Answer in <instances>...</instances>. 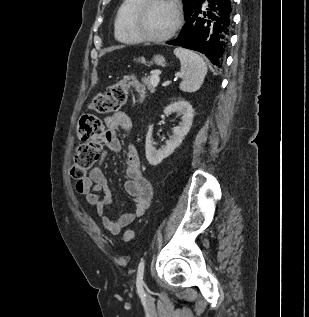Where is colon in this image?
<instances>
[{"label": "colon", "instance_id": "colon-1", "mask_svg": "<svg viewBox=\"0 0 309 317\" xmlns=\"http://www.w3.org/2000/svg\"><path fill=\"white\" fill-rule=\"evenodd\" d=\"M135 88L141 99L145 95V87L135 76L127 75L114 84L108 92L96 95L90 108L97 113H110L118 111L127 100L129 88ZM79 133L82 143L74 153V164L70 174L73 179L80 181L86 177L87 171L99 159L104 137V127L101 119L94 114H84L79 121ZM134 237L132 230L124 233V239L131 241Z\"/></svg>", "mask_w": 309, "mask_h": 317}]
</instances>
